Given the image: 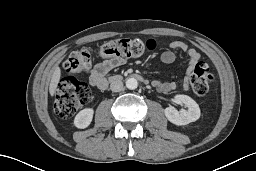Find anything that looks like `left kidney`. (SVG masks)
<instances>
[{"mask_svg":"<svg viewBox=\"0 0 256 171\" xmlns=\"http://www.w3.org/2000/svg\"><path fill=\"white\" fill-rule=\"evenodd\" d=\"M174 102L177 104H183L187 107V110L178 111L176 108L170 106L164 110L166 118L173 124L181 126L187 125L200 118V108L198 104L187 95H176Z\"/></svg>","mask_w":256,"mask_h":171,"instance_id":"obj_1","label":"left kidney"}]
</instances>
